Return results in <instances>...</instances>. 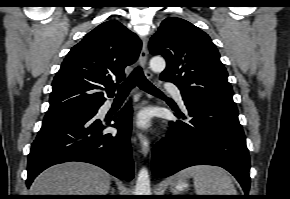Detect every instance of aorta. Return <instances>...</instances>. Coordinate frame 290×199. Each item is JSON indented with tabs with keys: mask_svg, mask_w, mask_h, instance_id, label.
I'll return each instance as SVG.
<instances>
[{
	"mask_svg": "<svg viewBox=\"0 0 290 199\" xmlns=\"http://www.w3.org/2000/svg\"><path fill=\"white\" fill-rule=\"evenodd\" d=\"M149 65L152 71L162 72L166 67V62L162 57L156 56L151 58ZM135 195H151L149 173L145 167H143L138 173Z\"/></svg>",
	"mask_w": 290,
	"mask_h": 199,
	"instance_id": "1",
	"label": "aorta"
}]
</instances>
